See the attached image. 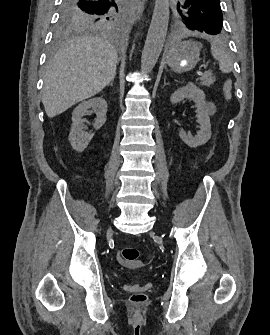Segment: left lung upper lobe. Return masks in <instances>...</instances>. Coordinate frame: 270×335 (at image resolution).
Listing matches in <instances>:
<instances>
[{
  "mask_svg": "<svg viewBox=\"0 0 270 335\" xmlns=\"http://www.w3.org/2000/svg\"><path fill=\"white\" fill-rule=\"evenodd\" d=\"M182 22L192 30L217 35L222 32L223 16L220 0H186L178 3Z\"/></svg>",
  "mask_w": 270,
  "mask_h": 335,
  "instance_id": "5c2ea615",
  "label": "left lung upper lobe"
}]
</instances>
